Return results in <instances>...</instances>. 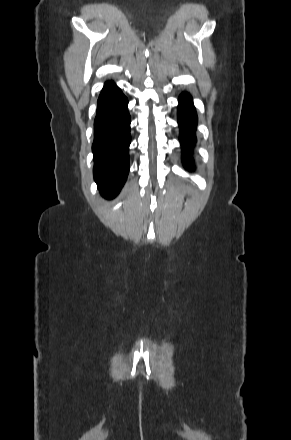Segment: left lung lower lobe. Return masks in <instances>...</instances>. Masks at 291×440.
<instances>
[{
	"mask_svg": "<svg viewBox=\"0 0 291 440\" xmlns=\"http://www.w3.org/2000/svg\"><path fill=\"white\" fill-rule=\"evenodd\" d=\"M178 123L180 125V141L184 153L183 163L187 168H191V150L195 143V126L197 124V115L189 94H183L179 98Z\"/></svg>",
	"mask_w": 291,
	"mask_h": 440,
	"instance_id": "1",
	"label": "left lung lower lobe"
}]
</instances>
